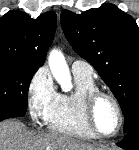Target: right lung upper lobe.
Segmentation results:
<instances>
[{"label": "right lung upper lobe", "instance_id": "right-lung-upper-lobe-1", "mask_svg": "<svg viewBox=\"0 0 139 150\" xmlns=\"http://www.w3.org/2000/svg\"><path fill=\"white\" fill-rule=\"evenodd\" d=\"M57 16L48 11L37 19L12 10L0 18V62H15L39 68L51 45Z\"/></svg>", "mask_w": 139, "mask_h": 150}]
</instances>
